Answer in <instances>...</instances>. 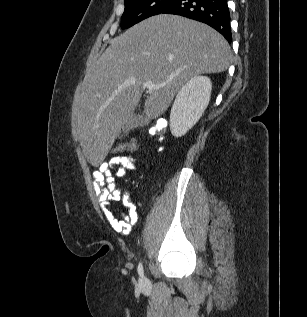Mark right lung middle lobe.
Wrapping results in <instances>:
<instances>
[{"label":"right lung middle lobe","instance_id":"1","mask_svg":"<svg viewBox=\"0 0 307 317\" xmlns=\"http://www.w3.org/2000/svg\"><path fill=\"white\" fill-rule=\"evenodd\" d=\"M174 0H125V10L121 18V28L162 13Z\"/></svg>","mask_w":307,"mask_h":317}]
</instances>
